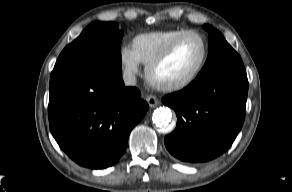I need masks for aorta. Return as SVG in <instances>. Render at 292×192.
I'll use <instances>...</instances> for the list:
<instances>
[{"instance_id": "762f6f07", "label": "aorta", "mask_w": 292, "mask_h": 192, "mask_svg": "<svg viewBox=\"0 0 292 192\" xmlns=\"http://www.w3.org/2000/svg\"><path fill=\"white\" fill-rule=\"evenodd\" d=\"M152 120L161 132L168 133L172 130V112L169 108H157L153 113Z\"/></svg>"}]
</instances>
